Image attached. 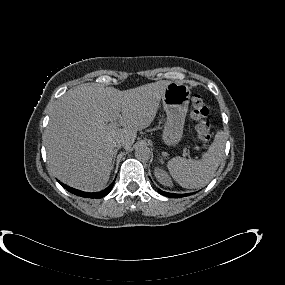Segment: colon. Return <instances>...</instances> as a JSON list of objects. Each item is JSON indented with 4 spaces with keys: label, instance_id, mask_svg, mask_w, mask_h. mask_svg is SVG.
<instances>
[{
    "label": "colon",
    "instance_id": "colon-1",
    "mask_svg": "<svg viewBox=\"0 0 285 285\" xmlns=\"http://www.w3.org/2000/svg\"><path fill=\"white\" fill-rule=\"evenodd\" d=\"M191 116L196 121V134L200 141L207 142L211 137V126L207 120L209 111L201 95L195 94L191 99Z\"/></svg>",
    "mask_w": 285,
    "mask_h": 285
}]
</instances>
